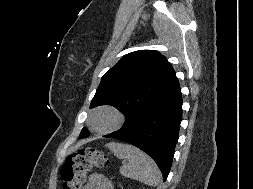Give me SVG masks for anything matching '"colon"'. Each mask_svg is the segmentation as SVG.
I'll list each match as a JSON object with an SVG mask.
<instances>
[{
  "mask_svg": "<svg viewBox=\"0 0 253 189\" xmlns=\"http://www.w3.org/2000/svg\"><path fill=\"white\" fill-rule=\"evenodd\" d=\"M108 158L99 150L82 148L69 154L61 168L64 189H84L88 172L93 168H109Z\"/></svg>",
  "mask_w": 253,
  "mask_h": 189,
  "instance_id": "5ec220e1",
  "label": "colon"
}]
</instances>
